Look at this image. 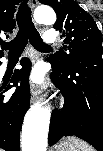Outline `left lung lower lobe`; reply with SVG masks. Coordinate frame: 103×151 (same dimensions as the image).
I'll return each instance as SVG.
<instances>
[{
	"mask_svg": "<svg viewBox=\"0 0 103 151\" xmlns=\"http://www.w3.org/2000/svg\"><path fill=\"white\" fill-rule=\"evenodd\" d=\"M52 69V82L65 102L52 112L49 145L74 135L103 151V54L81 56L67 70Z\"/></svg>",
	"mask_w": 103,
	"mask_h": 151,
	"instance_id": "0a47b994",
	"label": "left lung lower lobe"
}]
</instances>
